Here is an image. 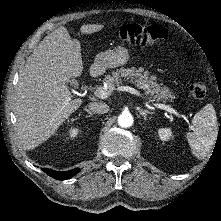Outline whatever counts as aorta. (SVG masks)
I'll return each instance as SVG.
<instances>
[{"instance_id": "obj_1", "label": "aorta", "mask_w": 221, "mask_h": 221, "mask_svg": "<svg viewBox=\"0 0 221 221\" xmlns=\"http://www.w3.org/2000/svg\"><path fill=\"white\" fill-rule=\"evenodd\" d=\"M118 124L123 128H128L133 124V117L129 112H123L118 117Z\"/></svg>"}]
</instances>
